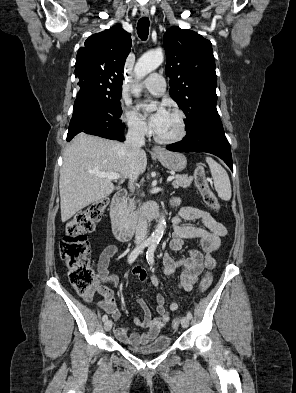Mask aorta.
Returning a JSON list of instances; mask_svg holds the SVG:
<instances>
[{"label": "aorta", "instance_id": "obj_1", "mask_svg": "<svg viewBox=\"0 0 296 393\" xmlns=\"http://www.w3.org/2000/svg\"><path fill=\"white\" fill-rule=\"evenodd\" d=\"M162 62H163L162 52L153 51L144 54L142 57L139 58V60L135 65L134 73L136 78L138 80L142 79L143 77H145L146 75L157 69L162 64ZM133 93L135 96H139L140 89L135 87L133 89ZM165 226H166V220L164 216H162L158 221L155 231L150 236V241L152 243H158L161 240V238L163 237Z\"/></svg>", "mask_w": 296, "mask_h": 393}]
</instances>
